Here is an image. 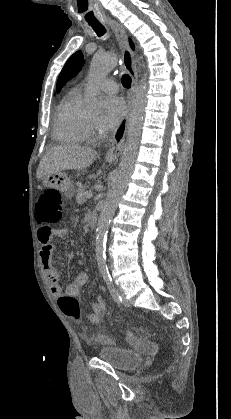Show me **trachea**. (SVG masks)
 Returning <instances> with one entry per match:
<instances>
[{
  "label": "trachea",
  "mask_w": 231,
  "mask_h": 419,
  "mask_svg": "<svg viewBox=\"0 0 231 419\" xmlns=\"http://www.w3.org/2000/svg\"><path fill=\"white\" fill-rule=\"evenodd\" d=\"M89 25L93 28V30L96 32V34L98 36H102L106 32L105 27L101 23H99V22L89 23ZM122 84H123L124 87L130 88V86H131V79H130V76L129 75H127V74H124L123 75Z\"/></svg>",
  "instance_id": "obj_1"
}]
</instances>
